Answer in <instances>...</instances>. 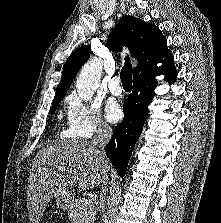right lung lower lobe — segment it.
Segmentation results:
<instances>
[{"label":"right lung lower lobe","instance_id":"obj_1","mask_svg":"<svg viewBox=\"0 0 221 223\" xmlns=\"http://www.w3.org/2000/svg\"><path fill=\"white\" fill-rule=\"evenodd\" d=\"M159 73L164 74L169 83H173L177 77V71L172 65L164 71L133 78V92L123 105L124 119L115 127L106 146V154L121 177L126 173L133 147L142 132L148 115V105L153 99L157 85L155 76Z\"/></svg>","mask_w":221,"mask_h":223}]
</instances>
